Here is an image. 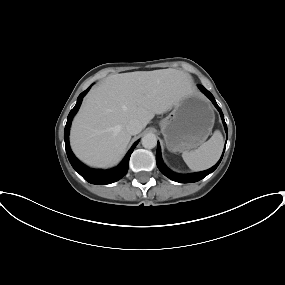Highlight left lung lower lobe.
<instances>
[{"mask_svg": "<svg viewBox=\"0 0 285 285\" xmlns=\"http://www.w3.org/2000/svg\"><path fill=\"white\" fill-rule=\"evenodd\" d=\"M198 87L213 102L215 107L219 110L223 124H224V127H225V130H226V133H227V125H226L225 120H224V115H223L220 107L217 105L213 95L208 90H206L203 86L198 85ZM225 146H226V144H225ZM223 154H224V152H223ZM222 157H223V155L221 156V159H222ZM221 159L218 161V163L216 165H214L212 168H210L206 171L182 175V174H177V173L172 172L171 170H169L164 165L162 158H161V150H160L159 143H158L157 152H156V163H157V167L159 168L161 173H163L166 177L170 178L171 180L176 181V182H180V183H192V182H197V181L203 179L205 176H207L208 174H210L211 172H213L217 168V166L221 162Z\"/></svg>", "mask_w": 285, "mask_h": 285, "instance_id": "0a47b994", "label": "left lung lower lobe"}]
</instances>
